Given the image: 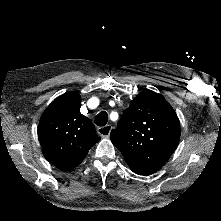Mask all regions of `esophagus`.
Masks as SVG:
<instances>
[{
    "mask_svg": "<svg viewBox=\"0 0 221 221\" xmlns=\"http://www.w3.org/2000/svg\"><path fill=\"white\" fill-rule=\"evenodd\" d=\"M112 130V125H106L103 127H99L97 129V133L103 138H109Z\"/></svg>",
    "mask_w": 221,
    "mask_h": 221,
    "instance_id": "esophagus-1",
    "label": "esophagus"
}]
</instances>
